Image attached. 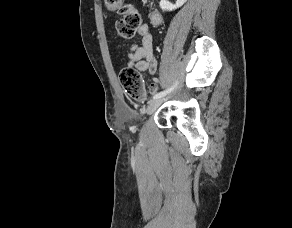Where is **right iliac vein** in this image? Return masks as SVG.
Returning <instances> with one entry per match:
<instances>
[{"mask_svg": "<svg viewBox=\"0 0 292 228\" xmlns=\"http://www.w3.org/2000/svg\"><path fill=\"white\" fill-rule=\"evenodd\" d=\"M163 100L164 99H155L151 101L148 105L147 113L148 114L153 113L159 107V105L163 102Z\"/></svg>", "mask_w": 292, "mask_h": 228, "instance_id": "63e3f726", "label": "right iliac vein"}]
</instances>
